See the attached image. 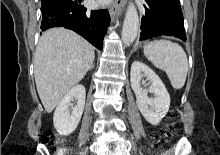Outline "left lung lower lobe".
Here are the masks:
<instances>
[{
	"mask_svg": "<svg viewBox=\"0 0 220 155\" xmlns=\"http://www.w3.org/2000/svg\"><path fill=\"white\" fill-rule=\"evenodd\" d=\"M140 40L167 35L186 41L179 0H146Z\"/></svg>",
	"mask_w": 220,
	"mask_h": 155,
	"instance_id": "0a47b994",
	"label": "left lung lower lobe"
}]
</instances>
